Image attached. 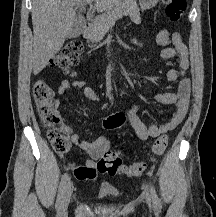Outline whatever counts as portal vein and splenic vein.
<instances>
[{"mask_svg":"<svg viewBox=\"0 0 216 217\" xmlns=\"http://www.w3.org/2000/svg\"><path fill=\"white\" fill-rule=\"evenodd\" d=\"M92 1H93V0H85L84 3H85V4H89V5H91V4H92Z\"/></svg>","mask_w":216,"mask_h":217,"instance_id":"obj_1","label":"portal vein and splenic vein"}]
</instances>
